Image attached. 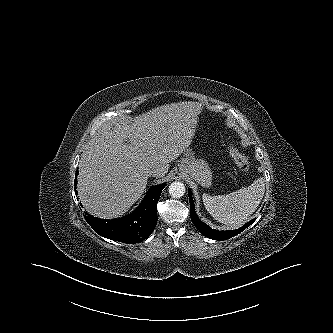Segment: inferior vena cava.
Returning a JSON list of instances; mask_svg holds the SVG:
<instances>
[{"instance_id":"602c4592","label":"inferior vena cava","mask_w":333,"mask_h":333,"mask_svg":"<svg viewBox=\"0 0 333 333\" xmlns=\"http://www.w3.org/2000/svg\"><path fill=\"white\" fill-rule=\"evenodd\" d=\"M150 176H158L160 174V170L158 168H151L148 172Z\"/></svg>"}]
</instances>
